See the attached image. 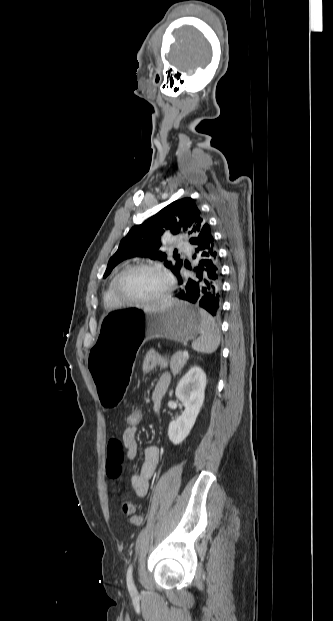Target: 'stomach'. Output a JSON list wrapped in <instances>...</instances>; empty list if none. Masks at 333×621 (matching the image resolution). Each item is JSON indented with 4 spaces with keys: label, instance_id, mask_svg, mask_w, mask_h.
<instances>
[{
    "label": "stomach",
    "instance_id": "0dacf381",
    "mask_svg": "<svg viewBox=\"0 0 333 621\" xmlns=\"http://www.w3.org/2000/svg\"><path fill=\"white\" fill-rule=\"evenodd\" d=\"M199 309L182 301L164 308L125 309L102 316L100 334L90 345L91 379L105 412L119 407L130 384L139 346L153 338L187 343L200 332Z\"/></svg>",
    "mask_w": 333,
    "mask_h": 621
}]
</instances>
